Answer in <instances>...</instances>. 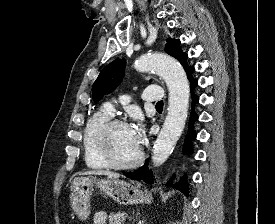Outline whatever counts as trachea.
<instances>
[{"label": "trachea", "mask_w": 275, "mask_h": 224, "mask_svg": "<svg viewBox=\"0 0 275 224\" xmlns=\"http://www.w3.org/2000/svg\"><path fill=\"white\" fill-rule=\"evenodd\" d=\"M156 106H163V101L157 102Z\"/></svg>", "instance_id": "obj_1"}]
</instances>
